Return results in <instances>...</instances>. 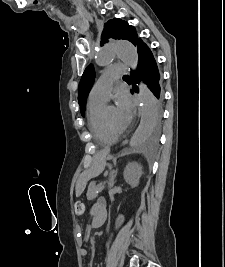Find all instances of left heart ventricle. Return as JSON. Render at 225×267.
<instances>
[{"mask_svg": "<svg viewBox=\"0 0 225 267\" xmlns=\"http://www.w3.org/2000/svg\"><path fill=\"white\" fill-rule=\"evenodd\" d=\"M105 116L108 122L115 128H122L121 124L119 123L116 115V110L113 107H108L105 109Z\"/></svg>", "mask_w": 225, "mask_h": 267, "instance_id": "left-heart-ventricle-1", "label": "left heart ventricle"}]
</instances>
